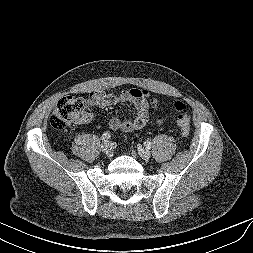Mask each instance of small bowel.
<instances>
[{
	"label": "small bowel",
	"instance_id": "1",
	"mask_svg": "<svg viewBox=\"0 0 253 253\" xmlns=\"http://www.w3.org/2000/svg\"><path fill=\"white\" fill-rule=\"evenodd\" d=\"M88 101L92 107L105 108L120 102H129L136 110L135 116L127 119L113 117L109 121L112 130L133 131L143 128L149 122V109L158 105L157 100H150L149 94L140 89H130L115 93L92 91L88 94ZM91 119V115L85 121Z\"/></svg>",
	"mask_w": 253,
	"mask_h": 253
}]
</instances>
